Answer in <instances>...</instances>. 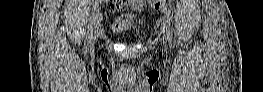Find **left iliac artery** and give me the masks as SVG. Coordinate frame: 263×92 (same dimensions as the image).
<instances>
[{"label": "left iliac artery", "mask_w": 263, "mask_h": 92, "mask_svg": "<svg viewBox=\"0 0 263 92\" xmlns=\"http://www.w3.org/2000/svg\"><path fill=\"white\" fill-rule=\"evenodd\" d=\"M168 19V16H165L164 17V20H167ZM166 35H167V41L169 44L172 43V31H171V28H170V22L169 21H166Z\"/></svg>", "instance_id": "left-iliac-artery-1"}]
</instances>
